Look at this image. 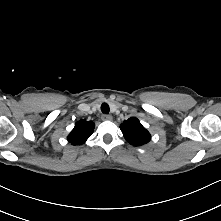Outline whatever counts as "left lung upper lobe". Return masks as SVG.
<instances>
[{"mask_svg": "<svg viewBox=\"0 0 221 221\" xmlns=\"http://www.w3.org/2000/svg\"><path fill=\"white\" fill-rule=\"evenodd\" d=\"M120 129L125 139L134 146H140L150 141V133L141 125L140 121L131 117L124 121Z\"/></svg>", "mask_w": 221, "mask_h": 221, "instance_id": "obj_1", "label": "left lung upper lobe"}]
</instances>
